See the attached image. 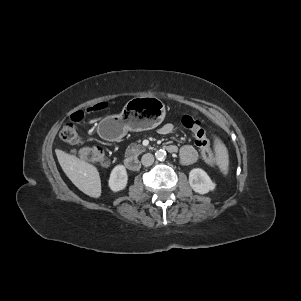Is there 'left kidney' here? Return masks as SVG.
<instances>
[{"instance_id":"left-kidney-1","label":"left kidney","mask_w":301,"mask_h":301,"mask_svg":"<svg viewBox=\"0 0 301 301\" xmlns=\"http://www.w3.org/2000/svg\"><path fill=\"white\" fill-rule=\"evenodd\" d=\"M189 183L191 188L199 194H206L209 191H213L216 187L208 174L200 168H194L190 171Z\"/></svg>"}]
</instances>
